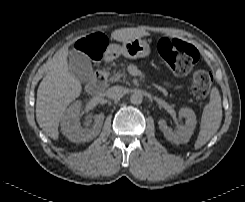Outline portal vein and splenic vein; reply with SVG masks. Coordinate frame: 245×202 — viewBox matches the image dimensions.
I'll list each match as a JSON object with an SVG mask.
<instances>
[{
    "label": "portal vein and splenic vein",
    "mask_w": 245,
    "mask_h": 202,
    "mask_svg": "<svg viewBox=\"0 0 245 202\" xmlns=\"http://www.w3.org/2000/svg\"><path fill=\"white\" fill-rule=\"evenodd\" d=\"M139 74H140L139 72L134 73V75H139Z\"/></svg>",
    "instance_id": "obj_1"
}]
</instances>
